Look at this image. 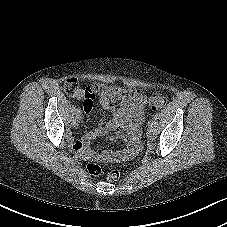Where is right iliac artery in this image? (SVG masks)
Wrapping results in <instances>:
<instances>
[{"label": "right iliac artery", "instance_id": "82829eb1", "mask_svg": "<svg viewBox=\"0 0 227 227\" xmlns=\"http://www.w3.org/2000/svg\"><path fill=\"white\" fill-rule=\"evenodd\" d=\"M76 111H77V114H79V115L81 114L80 108H77Z\"/></svg>", "mask_w": 227, "mask_h": 227}]
</instances>
